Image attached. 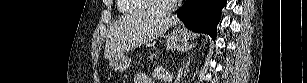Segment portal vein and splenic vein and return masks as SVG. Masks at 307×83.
I'll use <instances>...</instances> for the list:
<instances>
[{
    "instance_id": "1",
    "label": "portal vein and splenic vein",
    "mask_w": 307,
    "mask_h": 83,
    "mask_svg": "<svg viewBox=\"0 0 307 83\" xmlns=\"http://www.w3.org/2000/svg\"><path fill=\"white\" fill-rule=\"evenodd\" d=\"M172 78H173V76H172L171 74H168V75H165V76H164L163 80H165V81H171Z\"/></svg>"
}]
</instances>
